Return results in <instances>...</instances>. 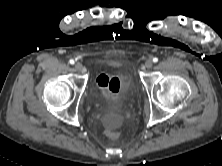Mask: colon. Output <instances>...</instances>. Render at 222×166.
I'll return each mask as SVG.
<instances>
[{
	"label": "colon",
	"mask_w": 222,
	"mask_h": 166,
	"mask_svg": "<svg viewBox=\"0 0 222 166\" xmlns=\"http://www.w3.org/2000/svg\"><path fill=\"white\" fill-rule=\"evenodd\" d=\"M107 136L111 139H117L119 137V132L115 130H107Z\"/></svg>",
	"instance_id": "obj_1"
}]
</instances>
